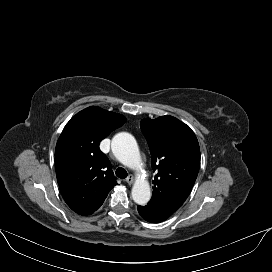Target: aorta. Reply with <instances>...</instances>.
<instances>
[{"mask_svg":"<svg viewBox=\"0 0 272 272\" xmlns=\"http://www.w3.org/2000/svg\"><path fill=\"white\" fill-rule=\"evenodd\" d=\"M114 156L125 166L138 168L141 166V157L135 138L126 132L116 134L111 143ZM132 198L138 205H146L151 198L149 183L138 179L132 187Z\"/></svg>","mask_w":272,"mask_h":272,"instance_id":"obj_1","label":"aorta"}]
</instances>
